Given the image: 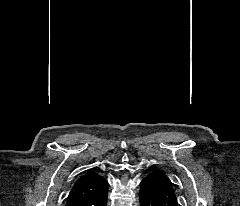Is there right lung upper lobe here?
<instances>
[{"label": "right lung upper lobe", "instance_id": "cb5924a9", "mask_svg": "<svg viewBox=\"0 0 240 206\" xmlns=\"http://www.w3.org/2000/svg\"><path fill=\"white\" fill-rule=\"evenodd\" d=\"M108 182L95 172L81 176L74 184L66 206H74L78 202L97 194Z\"/></svg>", "mask_w": 240, "mask_h": 206}]
</instances>
